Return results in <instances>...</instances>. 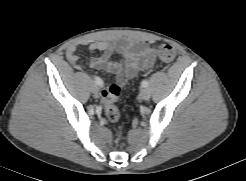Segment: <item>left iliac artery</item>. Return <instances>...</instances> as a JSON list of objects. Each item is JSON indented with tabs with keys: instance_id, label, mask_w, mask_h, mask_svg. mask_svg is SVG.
<instances>
[{
	"instance_id": "obj_1",
	"label": "left iliac artery",
	"mask_w": 246,
	"mask_h": 181,
	"mask_svg": "<svg viewBox=\"0 0 246 181\" xmlns=\"http://www.w3.org/2000/svg\"><path fill=\"white\" fill-rule=\"evenodd\" d=\"M141 85H142V87H147L148 86V81L147 80H143Z\"/></svg>"
}]
</instances>
